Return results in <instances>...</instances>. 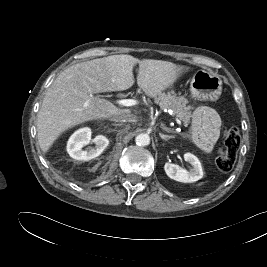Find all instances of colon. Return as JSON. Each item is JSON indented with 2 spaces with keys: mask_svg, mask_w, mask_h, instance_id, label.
<instances>
[{
  "mask_svg": "<svg viewBox=\"0 0 267 267\" xmlns=\"http://www.w3.org/2000/svg\"><path fill=\"white\" fill-rule=\"evenodd\" d=\"M240 133L236 127L230 128L224 135L223 148L216 159V165L222 172H229L236 161L240 146Z\"/></svg>",
  "mask_w": 267,
  "mask_h": 267,
  "instance_id": "5ec220e1",
  "label": "colon"
}]
</instances>
